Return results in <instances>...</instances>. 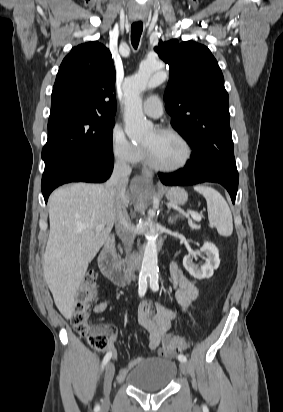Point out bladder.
Segmentation results:
<instances>
[{
    "label": "bladder",
    "mask_w": 283,
    "mask_h": 412,
    "mask_svg": "<svg viewBox=\"0 0 283 412\" xmlns=\"http://www.w3.org/2000/svg\"><path fill=\"white\" fill-rule=\"evenodd\" d=\"M178 367L168 359H147L126 374V382L138 390L156 392L167 389L175 380Z\"/></svg>",
    "instance_id": "bladder-1"
}]
</instances>
